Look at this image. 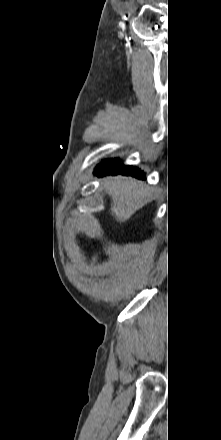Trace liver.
I'll return each instance as SVG.
<instances>
[{
	"instance_id": "liver-1",
	"label": "liver",
	"mask_w": 221,
	"mask_h": 440,
	"mask_svg": "<svg viewBox=\"0 0 221 440\" xmlns=\"http://www.w3.org/2000/svg\"><path fill=\"white\" fill-rule=\"evenodd\" d=\"M103 185L112 199L111 214L120 223L131 217L150 199V189L130 177H109Z\"/></svg>"
}]
</instances>
